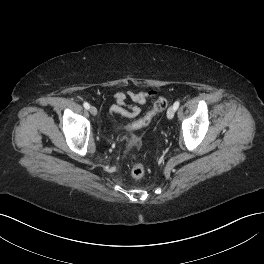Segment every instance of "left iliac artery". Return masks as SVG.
<instances>
[{
    "label": "left iliac artery",
    "instance_id": "1",
    "mask_svg": "<svg viewBox=\"0 0 264 264\" xmlns=\"http://www.w3.org/2000/svg\"><path fill=\"white\" fill-rule=\"evenodd\" d=\"M179 105H180V102H179V101H176V102L173 104V107L175 108V110L178 109Z\"/></svg>",
    "mask_w": 264,
    "mask_h": 264
}]
</instances>
